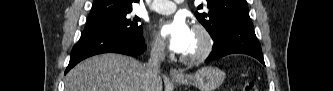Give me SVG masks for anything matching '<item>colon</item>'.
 I'll return each instance as SVG.
<instances>
[{
	"mask_svg": "<svg viewBox=\"0 0 333 91\" xmlns=\"http://www.w3.org/2000/svg\"><path fill=\"white\" fill-rule=\"evenodd\" d=\"M243 91H258V89L254 82L246 81L243 85Z\"/></svg>",
	"mask_w": 333,
	"mask_h": 91,
	"instance_id": "5ec220e1",
	"label": "colon"
}]
</instances>
